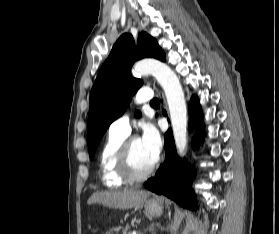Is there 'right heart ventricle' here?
I'll return each instance as SVG.
<instances>
[{"label": "right heart ventricle", "mask_w": 279, "mask_h": 234, "mask_svg": "<svg viewBox=\"0 0 279 234\" xmlns=\"http://www.w3.org/2000/svg\"><path fill=\"white\" fill-rule=\"evenodd\" d=\"M125 138V134L110 131L99 154V168L101 172V179L103 184L109 188L120 187L126 182L119 175L116 166L118 149Z\"/></svg>", "instance_id": "right-heart-ventricle-1"}]
</instances>
